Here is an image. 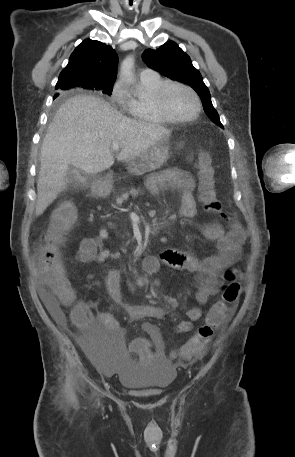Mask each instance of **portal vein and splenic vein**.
Masks as SVG:
<instances>
[{"label": "portal vein and splenic vein", "instance_id": "obj_1", "mask_svg": "<svg viewBox=\"0 0 295 457\" xmlns=\"http://www.w3.org/2000/svg\"><path fill=\"white\" fill-rule=\"evenodd\" d=\"M119 147H120V145H119L118 142H113V144H112V150L113 151H118Z\"/></svg>", "mask_w": 295, "mask_h": 457}]
</instances>
